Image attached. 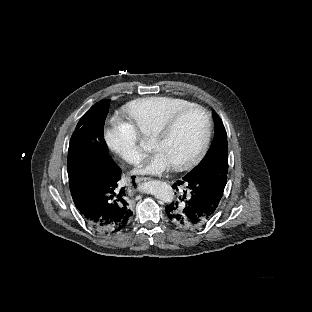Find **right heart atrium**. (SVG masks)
<instances>
[{"instance_id": "right-heart-atrium-1", "label": "right heart atrium", "mask_w": 312, "mask_h": 312, "mask_svg": "<svg viewBox=\"0 0 312 312\" xmlns=\"http://www.w3.org/2000/svg\"><path fill=\"white\" fill-rule=\"evenodd\" d=\"M104 144L113 155L129 165H136L141 160L142 145L135 129L127 122L111 124Z\"/></svg>"}]
</instances>
